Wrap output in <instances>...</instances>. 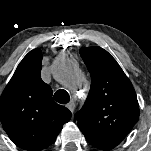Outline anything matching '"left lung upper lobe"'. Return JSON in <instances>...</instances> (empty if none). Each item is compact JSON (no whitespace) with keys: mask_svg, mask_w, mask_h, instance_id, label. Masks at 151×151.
<instances>
[{"mask_svg":"<svg viewBox=\"0 0 151 151\" xmlns=\"http://www.w3.org/2000/svg\"><path fill=\"white\" fill-rule=\"evenodd\" d=\"M91 87L84 107L75 114L86 139L122 141L139 118L135 90L116 60L100 47L81 48Z\"/></svg>","mask_w":151,"mask_h":151,"instance_id":"left-lung-upper-lobe-1","label":"left lung upper lobe"}]
</instances>
